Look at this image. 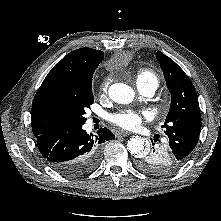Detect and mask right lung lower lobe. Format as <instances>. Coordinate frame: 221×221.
Wrapping results in <instances>:
<instances>
[{
  "label": "right lung lower lobe",
  "instance_id": "1",
  "mask_svg": "<svg viewBox=\"0 0 221 221\" xmlns=\"http://www.w3.org/2000/svg\"><path fill=\"white\" fill-rule=\"evenodd\" d=\"M114 138L107 128H100L94 137L79 126L61 134L40 136L36 141L51 168L62 175L77 177L96 167L101 144Z\"/></svg>",
  "mask_w": 221,
  "mask_h": 221
}]
</instances>
